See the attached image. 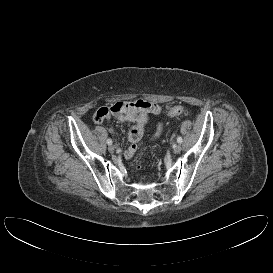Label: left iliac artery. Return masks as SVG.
<instances>
[{"instance_id":"1","label":"left iliac artery","mask_w":273,"mask_h":273,"mask_svg":"<svg viewBox=\"0 0 273 273\" xmlns=\"http://www.w3.org/2000/svg\"><path fill=\"white\" fill-rule=\"evenodd\" d=\"M182 141H183L182 137H181V136H178V137H177V142H178V143H182Z\"/></svg>"}]
</instances>
